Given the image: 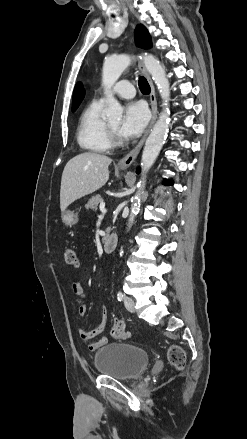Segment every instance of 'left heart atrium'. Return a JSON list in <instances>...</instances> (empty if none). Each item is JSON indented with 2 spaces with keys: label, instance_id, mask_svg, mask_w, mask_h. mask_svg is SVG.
<instances>
[{
  "label": "left heart atrium",
  "instance_id": "obj_1",
  "mask_svg": "<svg viewBox=\"0 0 247 439\" xmlns=\"http://www.w3.org/2000/svg\"><path fill=\"white\" fill-rule=\"evenodd\" d=\"M149 120V112L141 102L129 103L124 110L123 118L119 124L118 132L125 139L139 136Z\"/></svg>",
  "mask_w": 247,
  "mask_h": 439
}]
</instances>
